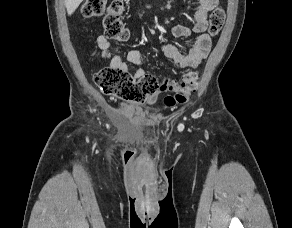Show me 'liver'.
I'll return each instance as SVG.
<instances>
[{"label": "liver", "instance_id": "liver-1", "mask_svg": "<svg viewBox=\"0 0 292 228\" xmlns=\"http://www.w3.org/2000/svg\"><path fill=\"white\" fill-rule=\"evenodd\" d=\"M83 0H65L68 15H72Z\"/></svg>", "mask_w": 292, "mask_h": 228}]
</instances>
